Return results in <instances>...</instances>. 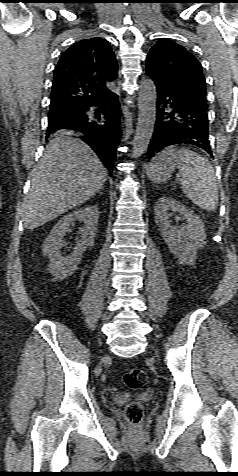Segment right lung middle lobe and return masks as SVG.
Here are the masks:
<instances>
[{
    "mask_svg": "<svg viewBox=\"0 0 238 476\" xmlns=\"http://www.w3.org/2000/svg\"><path fill=\"white\" fill-rule=\"evenodd\" d=\"M84 108L75 107H54L50 108L48 123H59L66 121L73 116L79 115Z\"/></svg>",
    "mask_w": 238,
    "mask_h": 476,
    "instance_id": "1",
    "label": "right lung middle lobe"
}]
</instances>
